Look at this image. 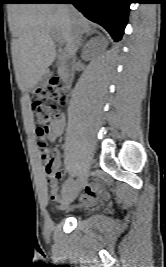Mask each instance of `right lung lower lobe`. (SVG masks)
<instances>
[{
	"label": "right lung lower lobe",
	"instance_id": "1",
	"mask_svg": "<svg viewBox=\"0 0 166 267\" xmlns=\"http://www.w3.org/2000/svg\"><path fill=\"white\" fill-rule=\"evenodd\" d=\"M20 3H72L89 20L103 26L117 42L124 32L131 0H23Z\"/></svg>",
	"mask_w": 166,
	"mask_h": 267
}]
</instances>
